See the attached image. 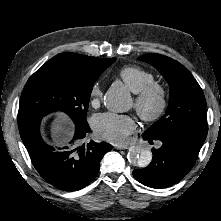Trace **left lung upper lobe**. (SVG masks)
Listing matches in <instances>:
<instances>
[{
	"mask_svg": "<svg viewBox=\"0 0 221 221\" xmlns=\"http://www.w3.org/2000/svg\"><path fill=\"white\" fill-rule=\"evenodd\" d=\"M153 65L169 83L165 115L143 134L154 139L177 138L202 147L208 132L206 101L192 74L179 62L156 53L138 58Z\"/></svg>",
	"mask_w": 221,
	"mask_h": 221,
	"instance_id": "5c2ea615",
	"label": "left lung upper lobe"
}]
</instances>
